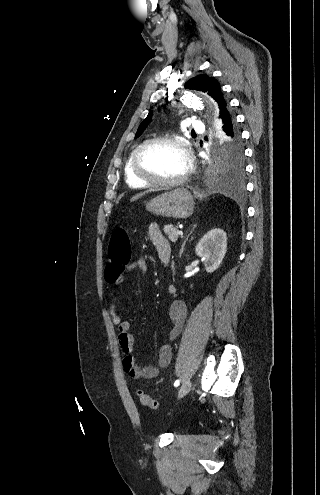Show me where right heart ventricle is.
Wrapping results in <instances>:
<instances>
[{
    "label": "right heart ventricle",
    "mask_w": 320,
    "mask_h": 495,
    "mask_svg": "<svg viewBox=\"0 0 320 495\" xmlns=\"http://www.w3.org/2000/svg\"><path fill=\"white\" fill-rule=\"evenodd\" d=\"M133 152L132 151L126 162H125V165H124V178H125V181L126 183L131 187V188H145V187H148L149 184H147L146 182H143L141 180H139L138 178H136L132 172V168H131V159H132V155H133Z\"/></svg>",
    "instance_id": "e07e8e85"
}]
</instances>
